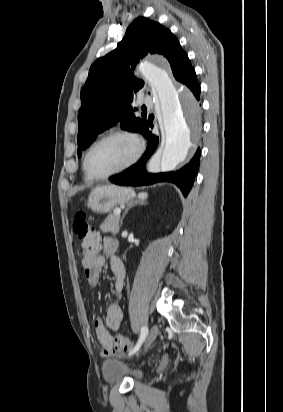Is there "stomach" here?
Segmentation results:
<instances>
[{
    "label": "stomach",
    "instance_id": "stomach-1",
    "mask_svg": "<svg viewBox=\"0 0 283 412\" xmlns=\"http://www.w3.org/2000/svg\"><path fill=\"white\" fill-rule=\"evenodd\" d=\"M134 196L131 188L116 185L98 186L88 197V207L95 213L105 214L118 205L129 203Z\"/></svg>",
    "mask_w": 283,
    "mask_h": 412
}]
</instances>
